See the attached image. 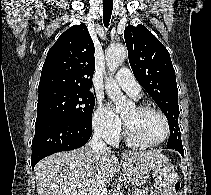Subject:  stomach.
Masks as SVG:
<instances>
[{"label": "stomach", "mask_w": 211, "mask_h": 195, "mask_svg": "<svg viewBox=\"0 0 211 195\" xmlns=\"http://www.w3.org/2000/svg\"><path fill=\"white\" fill-rule=\"evenodd\" d=\"M150 173H152L155 183L161 188L170 186L177 180V174L174 167L166 157L155 159L146 170L138 169L131 171L128 180L133 185L139 186L146 182Z\"/></svg>", "instance_id": "0dacf381"}]
</instances>
